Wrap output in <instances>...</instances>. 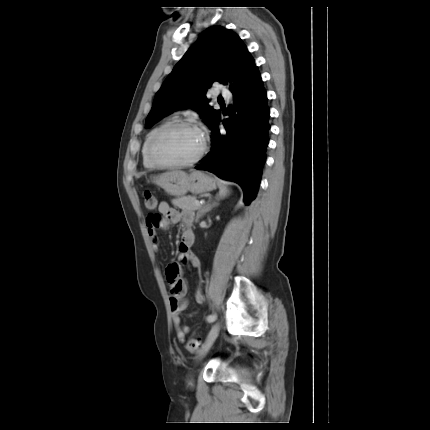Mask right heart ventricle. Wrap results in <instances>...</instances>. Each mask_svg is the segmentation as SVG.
I'll return each instance as SVG.
<instances>
[{
  "label": "right heart ventricle",
  "mask_w": 430,
  "mask_h": 430,
  "mask_svg": "<svg viewBox=\"0 0 430 430\" xmlns=\"http://www.w3.org/2000/svg\"><path fill=\"white\" fill-rule=\"evenodd\" d=\"M171 121L170 119H166L164 121H162L160 124H158L157 126H155L153 129H151L149 131V133L146 135V138L144 140V144L142 147V159H143V165L145 168L147 169H155L157 168V166L155 164H153L147 154V147H148V143L151 139V137L161 128H163L164 126H166L167 124H169Z\"/></svg>",
  "instance_id": "1"
}]
</instances>
